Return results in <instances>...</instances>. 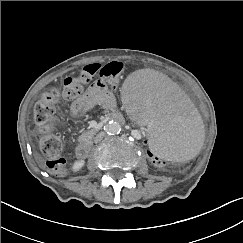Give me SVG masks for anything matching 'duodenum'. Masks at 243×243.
Listing matches in <instances>:
<instances>
[{
    "instance_id": "obj_1",
    "label": "duodenum",
    "mask_w": 243,
    "mask_h": 243,
    "mask_svg": "<svg viewBox=\"0 0 243 243\" xmlns=\"http://www.w3.org/2000/svg\"><path fill=\"white\" fill-rule=\"evenodd\" d=\"M115 121L122 122L124 121L123 117L119 114H115L112 117ZM88 145L86 143H79L76 147V154L78 157L83 158L87 155Z\"/></svg>"
}]
</instances>
